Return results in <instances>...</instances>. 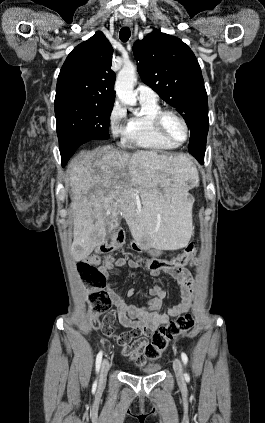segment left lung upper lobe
<instances>
[{
    "label": "left lung upper lobe",
    "instance_id": "1",
    "mask_svg": "<svg viewBox=\"0 0 265 423\" xmlns=\"http://www.w3.org/2000/svg\"><path fill=\"white\" fill-rule=\"evenodd\" d=\"M133 54L142 81L182 114L191 130L188 149L202 162L209 129L208 102L194 53L179 38L154 29L134 43Z\"/></svg>",
    "mask_w": 265,
    "mask_h": 423
}]
</instances>
